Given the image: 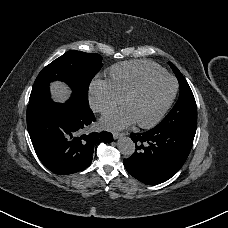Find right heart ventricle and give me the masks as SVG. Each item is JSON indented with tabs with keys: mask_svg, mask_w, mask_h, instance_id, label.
Masks as SVG:
<instances>
[{
	"mask_svg": "<svg viewBox=\"0 0 228 228\" xmlns=\"http://www.w3.org/2000/svg\"><path fill=\"white\" fill-rule=\"evenodd\" d=\"M163 73L165 70L155 63L125 62L111 69V82L123 99L144 79Z\"/></svg>",
	"mask_w": 228,
	"mask_h": 228,
	"instance_id": "e07e8e85",
	"label": "right heart ventricle"
}]
</instances>
